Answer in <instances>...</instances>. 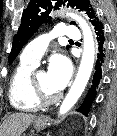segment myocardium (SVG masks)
<instances>
[{
	"instance_id": "1",
	"label": "myocardium",
	"mask_w": 117,
	"mask_h": 136,
	"mask_svg": "<svg viewBox=\"0 0 117 136\" xmlns=\"http://www.w3.org/2000/svg\"><path fill=\"white\" fill-rule=\"evenodd\" d=\"M38 72H41V71L34 72L31 75V87H32V93H33L34 99L39 105H50V104L58 102L62 98V94L58 93L51 97L46 96L41 90V88L38 86L37 79H36Z\"/></svg>"
}]
</instances>
